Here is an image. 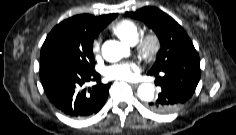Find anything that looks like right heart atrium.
<instances>
[{"label": "right heart atrium", "mask_w": 236, "mask_h": 135, "mask_svg": "<svg viewBox=\"0 0 236 135\" xmlns=\"http://www.w3.org/2000/svg\"><path fill=\"white\" fill-rule=\"evenodd\" d=\"M100 49H101V37L98 36L92 42V51L95 54H98L100 52Z\"/></svg>", "instance_id": "right-heart-atrium-1"}]
</instances>
